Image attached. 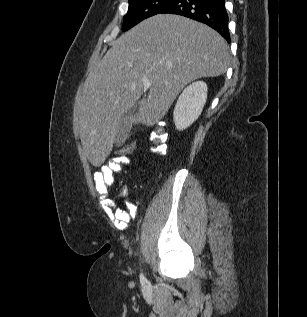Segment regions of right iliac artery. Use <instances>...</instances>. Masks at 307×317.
Wrapping results in <instances>:
<instances>
[{
  "label": "right iliac artery",
  "mask_w": 307,
  "mask_h": 317,
  "mask_svg": "<svg viewBox=\"0 0 307 317\" xmlns=\"http://www.w3.org/2000/svg\"><path fill=\"white\" fill-rule=\"evenodd\" d=\"M140 282H141L142 284H144V283L146 282V278L144 277L143 274L140 275Z\"/></svg>",
  "instance_id": "82829eb1"
}]
</instances>
